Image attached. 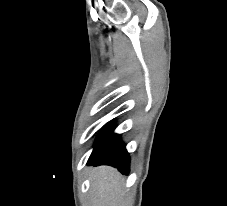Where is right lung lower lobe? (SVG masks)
Here are the masks:
<instances>
[{"label": "right lung lower lobe", "instance_id": "obj_1", "mask_svg": "<svg viewBox=\"0 0 227 206\" xmlns=\"http://www.w3.org/2000/svg\"><path fill=\"white\" fill-rule=\"evenodd\" d=\"M114 123L108 122L97 136L94 150L88 160V165H111L121 173H129V154L120 135L113 133Z\"/></svg>", "mask_w": 227, "mask_h": 206}]
</instances>
